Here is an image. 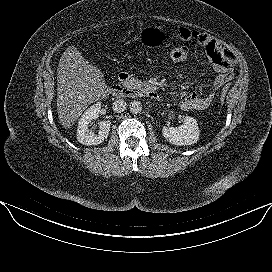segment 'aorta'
<instances>
[{
	"label": "aorta",
	"instance_id": "1",
	"mask_svg": "<svg viewBox=\"0 0 272 272\" xmlns=\"http://www.w3.org/2000/svg\"><path fill=\"white\" fill-rule=\"evenodd\" d=\"M129 106L130 111L134 114L140 113L142 111V105L139 101L134 100L130 103Z\"/></svg>",
	"mask_w": 272,
	"mask_h": 272
}]
</instances>
